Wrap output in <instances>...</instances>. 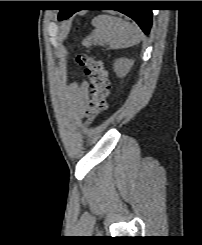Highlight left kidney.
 Masks as SVG:
<instances>
[{"mask_svg":"<svg viewBox=\"0 0 202 245\" xmlns=\"http://www.w3.org/2000/svg\"><path fill=\"white\" fill-rule=\"evenodd\" d=\"M133 63L134 62L132 60L127 58L117 59L114 63V71L116 72L117 76L124 77L132 68Z\"/></svg>","mask_w":202,"mask_h":245,"instance_id":"left-kidney-1","label":"left kidney"}]
</instances>
